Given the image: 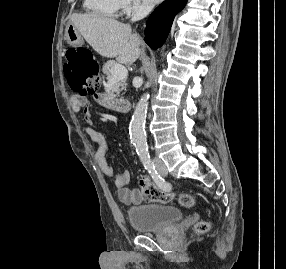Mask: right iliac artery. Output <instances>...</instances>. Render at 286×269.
Returning a JSON list of instances; mask_svg holds the SVG:
<instances>
[{"instance_id": "1", "label": "right iliac artery", "mask_w": 286, "mask_h": 269, "mask_svg": "<svg viewBox=\"0 0 286 269\" xmlns=\"http://www.w3.org/2000/svg\"><path fill=\"white\" fill-rule=\"evenodd\" d=\"M142 162L145 169L151 174L155 183L161 188L166 187L165 180L158 174L154 162L149 157L142 158Z\"/></svg>"}]
</instances>
